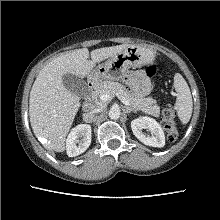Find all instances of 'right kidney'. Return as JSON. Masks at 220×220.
Masks as SVG:
<instances>
[{
    "instance_id": "1",
    "label": "right kidney",
    "mask_w": 220,
    "mask_h": 220,
    "mask_svg": "<svg viewBox=\"0 0 220 220\" xmlns=\"http://www.w3.org/2000/svg\"><path fill=\"white\" fill-rule=\"evenodd\" d=\"M79 137H83L79 140ZM91 143V126L80 124L72 129L66 139V150L69 157H75L87 150ZM78 144V145H77Z\"/></svg>"
}]
</instances>
